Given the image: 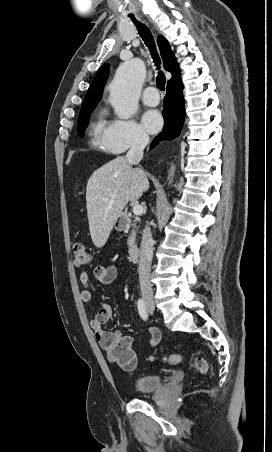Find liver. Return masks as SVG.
<instances>
[{
  "instance_id": "liver-1",
  "label": "liver",
  "mask_w": 272,
  "mask_h": 452,
  "mask_svg": "<svg viewBox=\"0 0 272 452\" xmlns=\"http://www.w3.org/2000/svg\"><path fill=\"white\" fill-rule=\"evenodd\" d=\"M148 188L145 172L133 168L123 156L93 172L87 182L86 207L91 239L96 247L105 245L128 201L136 202Z\"/></svg>"
}]
</instances>
